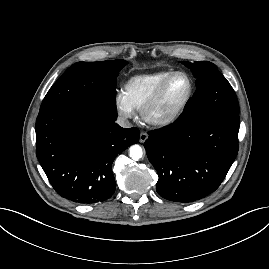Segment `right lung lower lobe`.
Wrapping results in <instances>:
<instances>
[{"label": "right lung lower lobe", "instance_id": "98d812e1", "mask_svg": "<svg viewBox=\"0 0 269 269\" xmlns=\"http://www.w3.org/2000/svg\"><path fill=\"white\" fill-rule=\"evenodd\" d=\"M115 120L68 104L40 110L36 155L60 196L81 204L111 197L115 191L112 162L140 135L137 128H122Z\"/></svg>", "mask_w": 269, "mask_h": 269}]
</instances>
